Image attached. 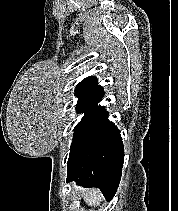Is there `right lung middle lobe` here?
Wrapping results in <instances>:
<instances>
[{
    "mask_svg": "<svg viewBox=\"0 0 178 211\" xmlns=\"http://www.w3.org/2000/svg\"><path fill=\"white\" fill-rule=\"evenodd\" d=\"M95 105L94 104H77V113H85L84 117L82 118L81 122L85 119V117L89 114V112L92 110V108L94 107ZM80 122V123H81ZM79 123V124H80ZM78 124V125H79ZM77 125V127H78ZM76 127V128H77Z\"/></svg>",
    "mask_w": 178,
    "mask_h": 211,
    "instance_id": "1",
    "label": "right lung middle lobe"
}]
</instances>
